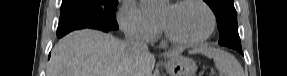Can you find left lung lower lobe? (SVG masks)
<instances>
[{
  "label": "left lung lower lobe",
  "mask_w": 287,
  "mask_h": 76,
  "mask_svg": "<svg viewBox=\"0 0 287 76\" xmlns=\"http://www.w3.org/2000/svg\"><path fill=\"white\" fill-rule=\"evenodd\" d=\"M233 49L237 50L238 52H240L242 54V48L241 47H233Z\"/></svg>",
  "instance_id": "1"
}]
</instances>
